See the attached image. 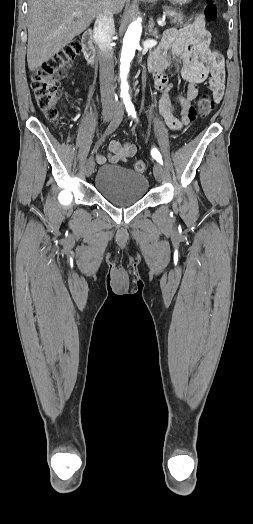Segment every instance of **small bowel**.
<instances>
[{"label":"small bowel","mask_w":253,"mask_h":524,"mask_svg":"<svg viewBox=\"0 0 253 524\" xmlns=\"http://www.w3.org/2000/svg\"><path fill=\"white\" fill-rule=\"evenodd\" d=\"M211 35L205 27L203 16H196L189 24L181 28H170L163 33L160 45L151 53L148 66L153 68L154 88L158 92L157 106L165 124L174 131H180L198 115L196 102L198 85L208 80L209 87L216 101L224 92V59L210 48ZM174 72L188 84L185 96L178 95L171 99V85L166 71ZM180 108L181 117L173 111ZM109 155L106 158L97 154L98 164L107 161L111 164L125 162L135 156L137 147L130 142L121 143L112 140L109 143Z\"/></svg>","instance_id":"c3829d8e"}]
</instances>
